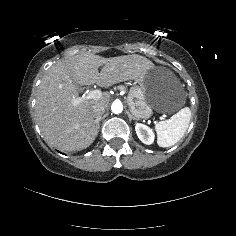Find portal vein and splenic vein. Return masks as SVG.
<instances>
[{
    "instance_id": "18ae733b",
    "label": "portal vein and splenic vein",
    "mask_w": 236,
    "mask_h": 236,
    "mask_svg": "<svg viewBox=\"0 0 236 236\" xmlns=\"http://www.w3.org/2000/svg\"><path fill=\"white\" fill-rule=\"evenodd\" d=\"M103 96V93L101 90L99 89H96V90H93L89 93L88 95V98H91V99H100L102 98ZM79 100V99H78ZM159 119H161V117H159Z\"/></svg>"
}]
</instances>
